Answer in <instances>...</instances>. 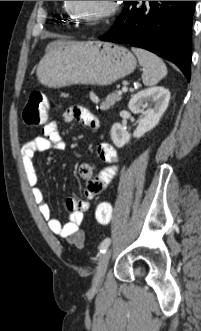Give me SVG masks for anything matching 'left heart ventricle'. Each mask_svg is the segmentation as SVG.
Here are the masks:
<instances>
[{
	"label": "left heart ventricle",
	"instance_id": "obj_1",
	"mask_svg": "<svg viewBox=\"0 0 201 331\" xmlns=\"http://www.w3.org/2000/svg\"><path fill=\"white\" fill-rule=\"evenodd\" d=\"M108 1H72L74 11L84 17H94L103 12Z\"/></svg>",
	"mask_w": 201,
	"mask_h": 331
}]
</instances>
